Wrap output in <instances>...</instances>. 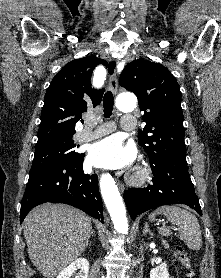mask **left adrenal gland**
<instances>
[{"instance_id": "obj_1", "label": "left adrenal gland", "mask_w": 221, "mask_h": 278, "mask_svg": "<svg viewBox=\"0 0 221 278\" xmlns=\"http://www.w3.org/2000/svg\"><path fill=\"white\" fill-rule=\"evenodd\" d=\"M147 233H149L151 236H153L152 232L148 228V224L146 223L145 228L143 229V235H146Z\"/></svg>"}]
</instances>
